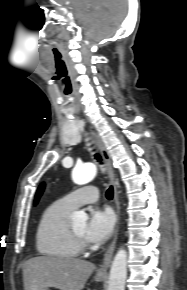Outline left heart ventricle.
<instances>
[{"instance_id":"b2bd125f","label":"left heart ventricle","mask_w":187,"mask_h":290,"mask_svg":"<svg viewBox=\"0 0 187 290\" xmlns=\"http://www.w3.org/2000/svg\"><path fill=\"white\" fill-rule=\"evenodd\" d=\"M71 227L79 236L85 238L86 227H87L85 223L74 224Z\"/></svg>"}]
</instances>
